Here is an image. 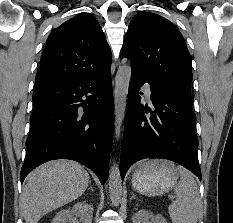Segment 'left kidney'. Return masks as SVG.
Listing matches in <instances>:
<instances>
[{
	"instance_id": "5707ae66",
	"label": "left kidney",
	"mask_w": 233,
	"mask_h": 223,
	"mask_svg": "<svg viewBox=\"0 0 233 223\" xmlns=\"http://www.w3.org/2000/svg\"><path fill=\"white\" fill-rule=\"evenodd\" d=\"M151 219V221H149ZM133 223H167L165 217L161 213L153 215L152 211H146V209H139L134 215H132Z\"/></svg>"
}]
</instances>
